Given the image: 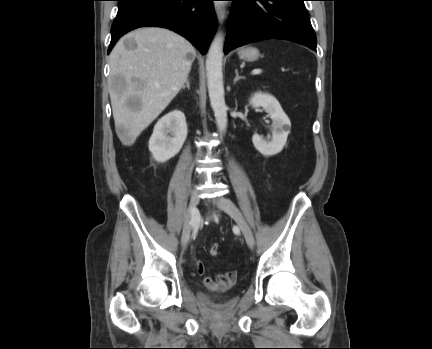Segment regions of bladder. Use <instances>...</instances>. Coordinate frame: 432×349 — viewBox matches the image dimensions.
<instances>
[{
  "instance_id": "1",
  "label": "bladder",
  "mask_w": 432,
  "mask_h": 349,
  "mask_svg": "<svg viewBox=\"0 0 432 349\" xmlns=\"http://www.w3.org/2000/svg\"><path fill=\"white\" fill-rule=\"evenodd\" d=\"M209 298H211L215 301L224 302L226 300V295L225 294H215L213 296H210Z\"/></svg>"
}]
</instances>
